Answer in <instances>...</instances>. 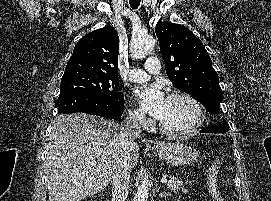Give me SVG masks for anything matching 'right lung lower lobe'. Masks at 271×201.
I'll return each mask as SVG.
<instances>
[{
    "label": "right lung lower lobe",
    "mask_w": 271,
    "mask_h": 201,
    "mask_svg": "<svg viewBox=\"0 0 271 201\" xmlns=\"http://www.w3.org/2000/svg\"><path fill=\"white\" fill-rule=\"evenodd\" d=\"M59 114L87 113L110 119L121 117L124 109V97L100 98L84 94L60 95L55 103Z\"/></svg>",
    "instance_id": "98d812e1"
}]
</instances>
